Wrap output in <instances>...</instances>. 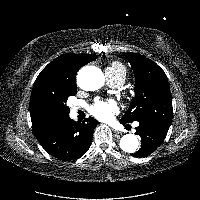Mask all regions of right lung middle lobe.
<instances>
[{
	"mask_svg": "<svg viewBox=\"0 0 200 200\" xmlns=\"http://www.w3.org/2000/svg\"><path fill=\"white\" fill-rule=\"evenodd\" d=\"M77 86L67 89L61 95H47L39 104V114L41 118L56 115H68L69 108L66 106V101L69 96L76 95Z\"/></svg>",
	"mask_w": 200,
	"mask_h": 200,
	"instance_id": "dd1d6c3e",
	"label": "right lung middle lobe"
}]
</instances>
